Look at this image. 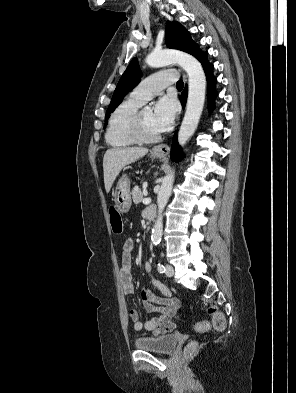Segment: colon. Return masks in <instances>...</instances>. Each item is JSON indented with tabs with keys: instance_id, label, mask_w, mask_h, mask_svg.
Segmentation results:
<instances>
[{
	"instance_id": "colon-1",
	"label": "colon",
	"mask_w": 296,
	"mask_h": 393,
	"mask_svg": "<svg viewBox=\"0 0 296 393\" xmlns=\"http://www.w3.org/2000/svg\"><path fill=\"white\" fill-rule=\"evenodd\" d=\"M109 217L113 233L116 235H121L124 230L123 221L119 212L112 206L109 208ZM208 312L213 316V328L217 331H222L226 326V320L224 315L219 312L214 306H210L208 308ZM195 328L198 331H208L210 329V323L208 321H202L197 323L195 325ZM196 347L197 346L194 343L189 344L186 348V353L192 354L196 350Z\"/></svg>"
}]
</instances>
